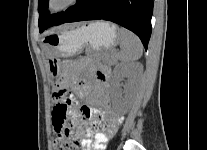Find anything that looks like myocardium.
Listing matches in <instances>:
<instances>
[{
  "instance_id": "obj_1",
  "label": "myocardium",
  "mask_w": 207,
  "mask_h": 150,
  "mask_svg": "<svg viewBox=\"0 0 207 150\" xmlns=\"http://www.w3.org/2000/svg\"><path fill=\"white\" fill-rule=\"evenodd\" d=\"M79 0H68L63 6L61 7H53V0H47V9L52 13H61L65 12L68 9L75 6Z\"/></svg>"
}]
</instances>
